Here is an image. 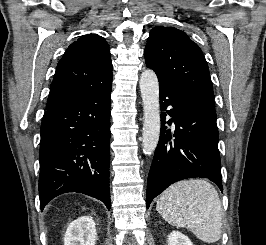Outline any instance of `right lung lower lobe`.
Listing matches in <instances>:
<instances>
[{"label":"right lung lower lobe","instance_id":"1","mask_svg":"<svg viewBox=\"0 0 266 245\" xmlns=\"http://www.w3.org/2000/svg\"><path fill=\"white\" fill-rule=\"evenodd\" d=\"M112 84L83 90L47 109L41 124L40 207L78 192L110 209V95Z\"/></svg>","mask_w":266,"mask_h":245}]
</instances>
